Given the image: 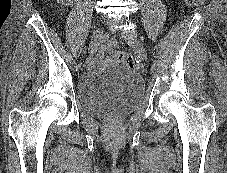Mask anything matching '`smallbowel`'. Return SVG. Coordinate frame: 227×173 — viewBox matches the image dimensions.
Wrapping results in <instances>:
<instances>
[{
    "label": "small bowel",
    "mask_w": 227,
    "mask_h": 173,
    "mask_svg": "<svg viewBox=\"0 0 227 173\" xmlns=\"http://www.w3.org/2000/svg\"><path fill=\"white\" fill-rule=\"evenodd\" d=\"M101 55H102V50H99L98 52H96L94 59L98 60L101 57Z\"/></svg>",
    "instance_id": "1"
}]
</instances>
